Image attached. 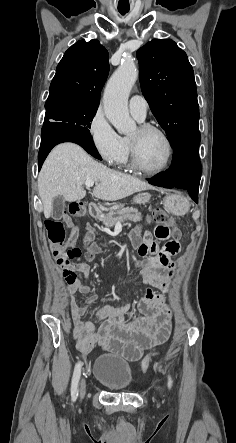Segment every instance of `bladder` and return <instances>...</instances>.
I'll list each match as a JSON object with an SVG mask.
<instances>
[{
  "label": "bladder",
  "mask_w": 236,
  "mask_h": 443,
  "mask_svg": "<svg viewBox=\"0 0 236 443\" xmlns=\"http://www.w3.org/2000/svg\"><path fill=\"white\" fill-rule=\"evenodd\" d=\"M94 376L97 381L113 392L124 391L132 381V372L128 363L120 357L106 354L97 358Z\"/></svg>",
  "instance_id": "31cf9c89"
}]
</instances>
